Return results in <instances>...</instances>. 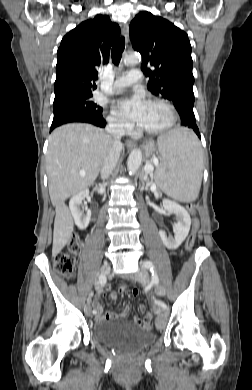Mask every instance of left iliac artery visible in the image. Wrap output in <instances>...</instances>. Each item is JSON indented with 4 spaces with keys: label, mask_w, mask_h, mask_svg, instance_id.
Instances as JSON below:
<instances>
[{
    "label": "left iliac artery",
    "mask_w": 252,
    "mask_h": 390,
    "mask_svg": "<svg viewBox=\"0 0 252 390\" xmlns=\"http://www.w3.org/2000/svg\"><path fill=\"white\" fill-rule=\"evenodd\" d=\"M143 266L145 268H147L148 270H150V272L152 274V283L155 284V285H158L159 277H158V275H157V273L155 271L153 263L151 261H149V260H146V261L143 262ZM156 304H158L163 309H167V305L163 301H156Z\"/></svg>",
    "instance_id": "obj_1"
}]
</instances>
